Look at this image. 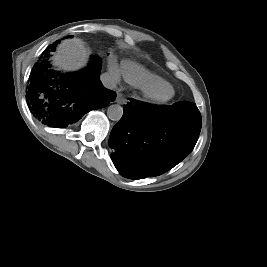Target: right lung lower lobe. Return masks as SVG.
Returning <instances> with one entry per match:
<instances>
[{
    "label": "right lung lower lobe",
    "mask_w": 267,
    "mask_h": 267,
    "mask_svg": "<svg viewBox=\"0 0 267 267\" xmlns=\"http://www.w3.org/2000/svg\"><path fill=\"white\" fill-rule=\"evenodd\" d=\"M55 45L50 46L51 51ZM48 54L44 51V58L35 63L27 87V104L38 121L53 128L67 127L115 100V92L106 89L99 79V58L92 57L90 64L77 73L64 74L50 68L45 59Z\"/></svg>",
    "instance_id": "1"
}]
</instances>
